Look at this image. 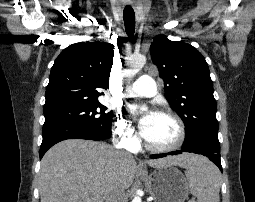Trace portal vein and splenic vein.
Instances as JSON below:
<instances>
[{"mask_svg": "<svg viewBox=\"0 0 255 202\" xmlns=\"http://www.w3.org/2000/svg\"><path fill=\"white\" fill-rule=\"evenodd\" d=\"M189 202H195V201L191 200V201H189Z\"/></svg>", "mask_w": 255, "mask_h": 202, "instance_id": "portal-vein-and-splenic-vein-1", "label": "portal vein and splenic vein"}]
</instances>
